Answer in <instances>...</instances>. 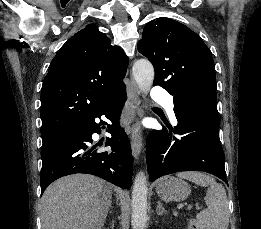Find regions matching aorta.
<instances>
[{
    "label": "aorta",
    "mask_w": 261,
    "mask_h": 229,
    "mask_svg": "<svg viewBox=\"0 0 261 229\" xmlns=\"http://www.w3.org/2000/svg\"><path fill=\"white\" fill-rule=\"evenodd\" d=\"M133 76L142 92L147 94L154 80V68L147 58H139L132 66ZM147 179L145 173L140 171L135 177L131 201L132 229H146L147 227Z\"/></svg>",
    "instance_id": "aorta-1"
}]
</instances>
